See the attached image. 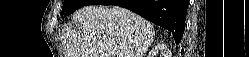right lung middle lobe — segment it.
I'll return each mask as SVG.
<instances>
[{
	"label": "right lung middle lobe",
	"instance_id": "right-lung-middle-lobe-1",
	"mask_svg": "<svg viewBox=\"0 0 249 57\" xmlns=\"http://www.w3.org/2000/svg\"><path fill=\"white\" fill-rule=\"evenodd\" d=\"M94 0H64L62 11L60 15L62 14H71L80 7L86 6V5H93Z\"/></svg>",
	"mask_w": 249,
	"mask_h": 57
}]
</instances>
